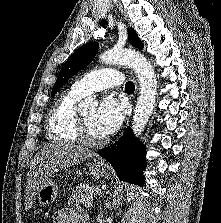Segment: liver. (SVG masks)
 I'll return each mask as SVG.
<instances>
[{
    "label": "liver",
    "mask_w": 221,
    "mask_h": 223,
    "mask_svg": "<svg viewBox=\"0 0 221 223\" xmlns=\"http://www.w3.org/2000/svg\"><path fill=\"white\" fill-rule=\"evenodd\" d=\"M95 152L69 142H54L35 154L27 177L25 207L29 209L43 182L54 172L92 158Z\"/></svg>",
    "instance_id": "obj_1"
}]
</instances>
